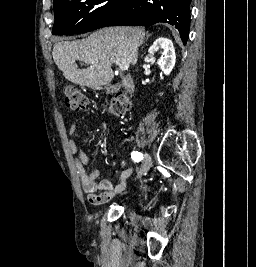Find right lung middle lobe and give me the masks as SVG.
Masks as SVG:
<instances>
[{
    "label": "right lung middle lobe",
    "instance_id": "1",
    "mask_svg": "<svg viewBox=\"0 0 256 267\" xmlns=\"http://www.w3.org/2000/svg\"><path fill=\"white\" fill-rule=\"evenodd\" d=\"M133 0H56L52 34L89 32L120 17Z\"/></svg>",
    "mask_w": 256,
    "mask_h": 267
}]
</instances>
